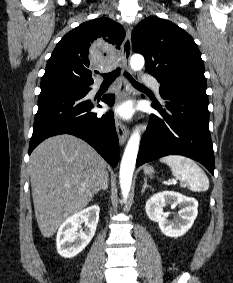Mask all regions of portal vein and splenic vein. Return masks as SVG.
<instances>
[{
    "label": "portal vein and splenic vein",
    "mask_w": 233,
    "mask_h": 283,
    "mask_svg": "<svg viewBox=\"0 0 233 283\" xmlns=\"http://www.w3.org/2000/svg\"><path fill=\"white\" fill-rule=\"evenodd\" d=\"M171 184L175 185V184H177V181L176 180H172Z\"/></svg>",
    "instance_id": "1"
}]
</instances>
